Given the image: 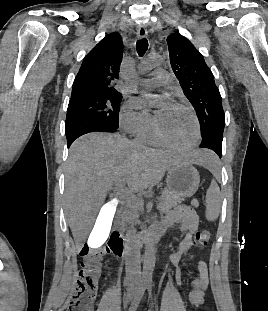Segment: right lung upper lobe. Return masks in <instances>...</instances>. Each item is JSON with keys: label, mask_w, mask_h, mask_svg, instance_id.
<instances>
[{"label": "right lung upper lobe", "mask_w": 268, "mask_h": 311, "mask_svg": "<svg viewBox=\"0 0 268 311\" xmlns=\"http://www.w3.org/2000/svg\"><path fill=\"white\" fill-rule=\"evenodd\" d=\"M123 56L122 38L118 33L106 35L84 58L74 80L72 92L120 94L115 88Z\"/></svg>", "instance_id": "cb5924a9"}]
</instances>
